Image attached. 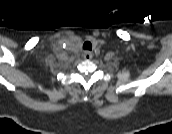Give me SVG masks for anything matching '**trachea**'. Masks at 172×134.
<instances>
[{"label":"trachea","instance_id":"1","mask_svg":"<svg viewBox=\"0 0 172 134\" xmlns=\"http://www.w3.org/2000/svg\"><path fill=\"white\" fill-rule=\"evenodd\" d=\"M83 49L84 50H92V44L89 42V41H86L84 44H83Z\"/></svg>","mask_w":172,"mask_h":134}]
</instances>
